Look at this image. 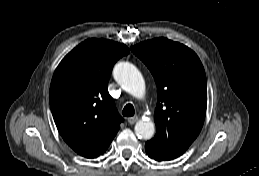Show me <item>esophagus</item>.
Returning <instances> with one entry per match:
<instances>
[{
    "mask_svg": "<svg viewBox=\"0 0 259 176\" xmlns=\"http://www.w3.org/2000/svg\"><path fill=\"white\" fill-rule=\"evenodd\" d=\"M137 121H138V117L137 116H133V117L128 118V123L130 125L135 124Z\"/></svg>",
    "mask_w": 259,
    "mask_h": 176,
    "instance_id": "obj_1",
    "label": "esophagus"
}]
</instances>
